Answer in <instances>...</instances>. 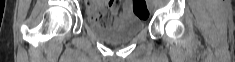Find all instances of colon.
Masks as SVG:
<instances>
[{"mask_svg":"<svg viewBox=\"0 0 235 62\" xmlns=\"http://www.w3.org/2000/svg\"><path fill=\"white\" fill-rule=\"evenodd\" d=\"M97 7V22L108 26L112 23V15L106 3L98 2ZM134 11L139 17L146 18L148 16V8L145 0H134Z\"/></svg>","mask_w":235,"mask_h":62,"instance_id":"colon-1","label":"colon"}]
</instances>
